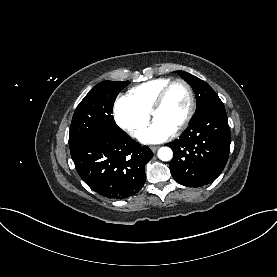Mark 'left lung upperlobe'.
I'll return each mask as SVG.
<instances>
[{
	"mask_svg": "<svg viewBox=\"0 0 277 277\" xmlns=\"http://www.w3.org/2000/svg\"><path fill=\"white\" fill-rule=\"evenodd\" d=\"M177 73L193 88L197 100L195 117L213 104L222 102L216 92L203 80L184 71Z\"/></svg>",
	"mask_w": 277,
	"mask_h": 277,
	"instance_id": "obj_1",
	"label": "left lung upper lobe"
}]
</instances>
